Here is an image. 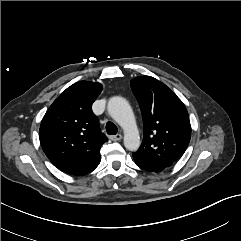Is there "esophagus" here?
Segmentation results:
<instances>
[{
	"label": "esophagus",
	"instance_id": "esophagus-1",
	"mask_svg": "<svg viewBox=\"0 0 241 241\" xmlns=\"http://www.w3.org/2000/svg\"><path fill=\"white\" fill-rule=\"evenodd\" d=\"M112 141H119L122 139V135L121 134H116V135H112L109 137Z\"/></svg>",
	"mask_w": 241,
	"mask_h": 241
}]
</instances>
